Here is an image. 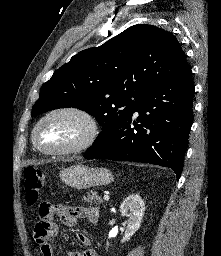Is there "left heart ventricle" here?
<instances>
[{
  "label": "left heart ventricle",
  "mask_w": 221,
  "mask_h": 256,
  "mask_svg": "<svg viewBox=\"0 0 221 256\" xmlns=\"http://www.w3.org/2000/svg\"><path fill=\"white\" fill-rule=\"evenodd\" d=\"M84 121L72 114H58L46 120L38 131V142L49 149L64 148L77 143L85 134Z\"/></svg>",
  "instance_id": "obj_1"
}]
</instances>
